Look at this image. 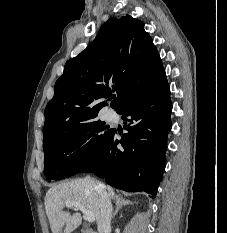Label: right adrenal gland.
<instances>
[{"instance_id": "right-adrenal-gland-1", "label": "right adrenal gland", "mask_w": 227, "mask_h": 233, "mask_svg": "<svg viewBox=\"0 0 227 233\" xmlns=\"http://www.w3.org/2000/svg\"><path fill=\"white\" fill-rule=\"evenodd\" d=\"M126 205H133V202L129 200H125L124 198H116V209H115V212L113 213L112 219L115 218L120 208Z\"/></svg>"}]
</instances>
